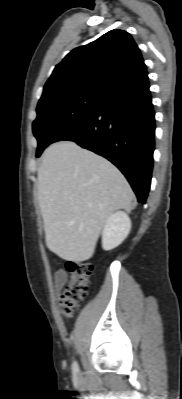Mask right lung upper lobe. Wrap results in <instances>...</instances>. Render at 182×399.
Here are the masks:
<instances>
[{
  "label": "right lung upper lobe",
  "instance_id": "obj_1",
  "mask_svg": "<svg viewBox=\"0 0 182 399\" xmlns=\"http://www.w3.org/2000/svg\"><path fill=\"white\" fill-rule=\"evenodd\" d=\"M147 80L146 65L133 38L115 29L67 54L46 82L39 102L74 94L105 97Z\"/></svg>",
  "mask_w": 182,
  "mask_h": 399
}]
</instances>
